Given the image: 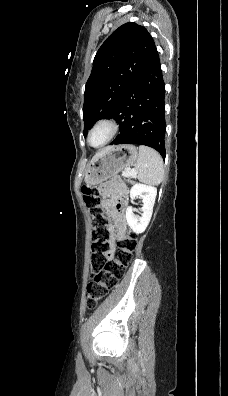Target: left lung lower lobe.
<instances>
[{"mask_svg":"<svg viewBox=\"0 0 228 396\" xmlns=\"http://www.w3.org/2000/svg\"><path fill=\"white\" fill-rule=\"evenodd\" d=\"M165 84L154 47L143 70L126 92L113 118L120 135L111 144H141L156 149L165 159Z\"/></svg>","mask_w":228,"mask_h":396,"instance_id":"0a47b994","label":"left lung lower lobe"}]
</instances>
